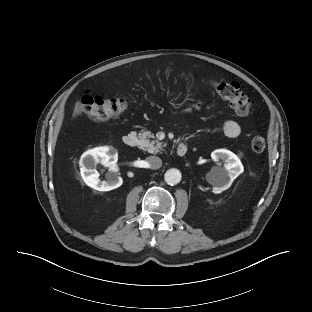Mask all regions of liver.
Segmentation results:
<instances>
[{
  "label": "liver",
  "mask_w": 312,
  "mask_h": 312,
  "mask_svg": "<svg viewBox=\"0 0 312 312\" xmlns=\"http://www.w3.org/2000/svg\"><path fill=\"white\" fill-rule=\"evenodd\" d=\"M77 112H78V110H77V109H75V112H74V114H73V117H75V116H76Z\"/></svg>",
  "instance_id": "1"
}]
</instances>
